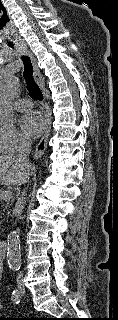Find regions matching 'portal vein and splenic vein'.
Returning a JSON list of instances; mask_svg holds the SVG:
<instances>
[{"label":"portal vein and splenic vein","instance_id":"18ae733b","mask_svg":"<svg viewBox=\"0 0 118 320\" xmlns=\"http://www.w3.org/2000/svg\"><path fill=\"white\" fill-rule=\"evenodd\" d=\"M12 198V192L9 190H4L0 193V200H10Z\"/></svg>","mask_w":118,"mask_h":320}]
</instances>
